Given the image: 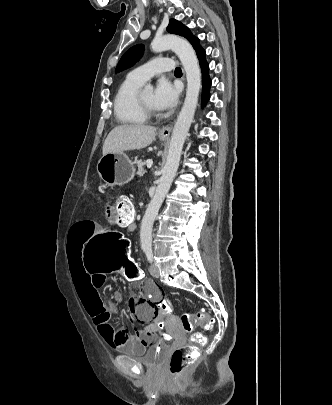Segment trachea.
I'll return each instance as SVG.
<instances>
[{"label": "trachea", "instance_id": "1", "mask_svg": "<svg viewBox=\"0 0 332 405\" xmlns=\"http://www.w3.org/2000/svg\"><path fill=\"white\" fill-rule=\"evenodd\" d=\"M175 74H182V71L179 67L175 68Z\"/></svg>", "mask_w": 332, "mask_h": 405}]
</instances>
